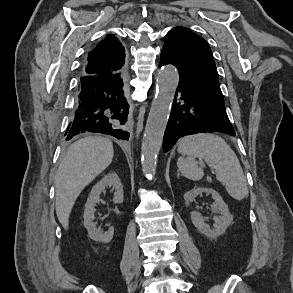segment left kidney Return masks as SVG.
<instances>
[{
	"mask_svg": "<svg viewBox=\"0 0 293 293\" xmlns=\"http://www.w3.org/2000/svg\"><path fill=\"white\" fill-rule=\"evenodd\" d=\"M207 193L212 196L214 203L212 208L220 214V216H215L213 218L214 225L211 228L206 222L201 214L197 211H192L190 217L193 225L196 229L209 238H217L220 235L224 234L228 226L233 222V216L230 214L228 206L223 201L222 197L217 191L212 188H196L192 189L184 194V200L186 206H189L190 203L200 194Z\"/></svg>",
	"mask_w": 293,
	"mask_h": 293,
	"instance_id": "1",
	"label": "left kidney"
}]
</instances>
